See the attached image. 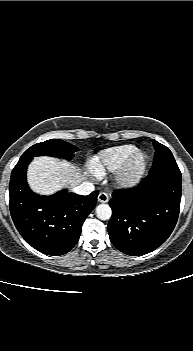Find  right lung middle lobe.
Masks as SVG:
<instances>
[{
    "mask_svg": "<svg viewBox=\"0 0 193 351\" xmlns=\"http://www.w3.org/2000/svg\"><path fill=\"white\" fill-rule=\"evenodd\" d=\"M78 148L61 139H50L41 143H37L27 149L21 158L36 156H53L71 160Z\"/></svg>",
    "mask_w": 193,
    "mask_h": 351,
    "instance_id": "1",
    "label": "right lung middle lobe"
}]
</instances>
